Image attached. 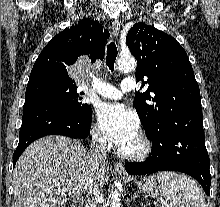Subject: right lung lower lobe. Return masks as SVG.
Listing matches in <instances>:
<instances>
[{
    "label": "right lung lower lobe",
    "mask_w": 220,
    "mask_h": 207,
    "mask_svg": "<svg viewBox=\"0 0 220 207\" xmlns=\"http://www.w3.org/2000/svg\"><path fill=\"white\" fill-rule=\"evenodd\" d=\"M92 109L76 113L42 97L25 100L18 147L13 154V166L26 147L47 135H63L85 139L90 133Z\"/></svg>",
    "instance_id": "98d812e1"
}]
</instances>
